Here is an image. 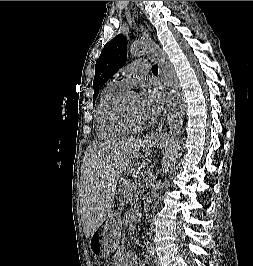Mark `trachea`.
<instances>
[{
	"label": "trachea",
	"instance_id": "trachea-1",
	"mask_svg": "<svg viewBox=\"0 0 253 266\" xmlns=\"http://www.w3.org/2000/svg\"><path fill=\"white\" fill-rule=\"evenodd\" d=\"M152 73H154V74L158 73V66L157 65L152 66Z\"/></svg>",
	"mask_w": 253,
	"mask_h": 266
}]
</instances>
